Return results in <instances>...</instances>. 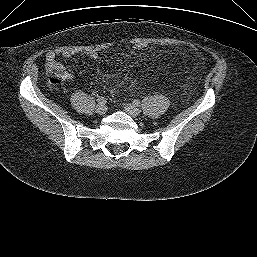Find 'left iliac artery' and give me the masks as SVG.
<instances>
[{"label":"left iliac artery","mask_w":257,"mask_h":257,"mask_svg":"<svg viewBox=\"0 0 257 257\" xmlns=\"http://www.w3.org/2000/svg\"><path fill=\"white\" fill-rule=\"evenodd\" d=\"M133 104H134L135 106H139V105H140V101H139L138 99H135V100L133 101Z\"/></svg>","instance_id":"left-iliac-artery-1"}]
</instances>
